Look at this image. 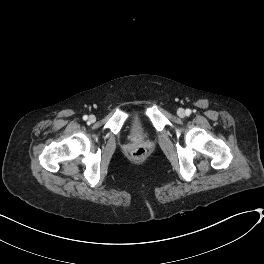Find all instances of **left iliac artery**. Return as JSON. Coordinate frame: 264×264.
<instances>
[{
  "label": "left iliac artery",
  "instance_id": "left-iliac-artery-1",
  "mask_svg": "<svg viewBox=\"0 0 264 264\" xmlns=\"http://www.w3.org/2000/svg\"><path fill=\"white\" fill-rule=\"evenodd\" d=\"M191 114V110L190 109H186V115H190Z\"/></svg>",
  "mask_w": 264,
  "mask_h": 264
}]
</instances>
